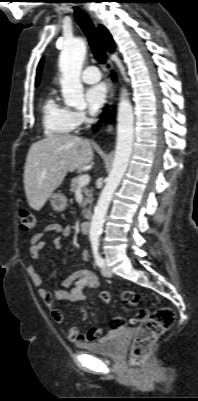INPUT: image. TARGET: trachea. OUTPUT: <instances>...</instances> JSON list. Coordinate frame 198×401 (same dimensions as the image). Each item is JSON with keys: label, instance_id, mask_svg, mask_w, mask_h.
<instances>
[{"label": "trachea", "instance_id": "obj_1", "mask_svg": "<svg viewBox=\"0 0 198 401\" xmlns=\"http://www.w3.org/2000/svg\"><path fill=\"white\" fill-rule=\"evenodd\" d=\"M74 16L88 39L90 48L95 59L100 64H104L106 62V52L104 50L101 38L92 21L90 20L88 15L85 14L78 7H74Z\"/></svg>", "mask_w": 198, "mask_h": 401}]
</instances>
